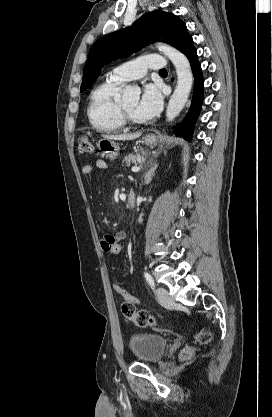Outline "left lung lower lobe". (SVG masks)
Masks as SVG:
<instances>
[{"label":"left lung lower lobe","mask_w":272,"mask_h":417,"mask_svg":"<svg viewBox=\"0 0 272 417\" xmlns=\"http://www.w3.org/2000/svg\"><path fill=\"white\" fill-rule=\"evenodd\" d=\"M186 56L188 57L192 67V71L195 77V86L190 110L187 113L184 122L176 127L175 133L177 136H181L186 140H191L194 123L198 117L203 100V78L195 47L190 52H188Z\"/></svg>","instance_id":"left-lung-lower-lobe-1"}]
</instances>
